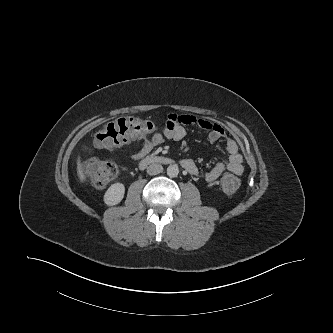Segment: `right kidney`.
Masks as SVG:
<instances>
[{
	"label": "right kidney",
	"instance_id": "right-kidney-1",
	"mask_svg": "<svg viewBox=\"0 0 333 333\" xmlns=\"http://www.w3.org/2000/svg\"><path fill=\"white\" fill-rule=\"evenodd\" d=\"M125 186L122 183L112 184L104 195V202L108 206L117 205L124 197Z\"/></svg>",
	"mask_w": 333,
	"mask_h": 333
}]
</instances>
